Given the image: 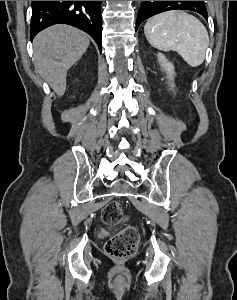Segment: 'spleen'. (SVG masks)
<instances>
[{"instance_id":"spleen-1","label":"spleen","mask_w":237,"mask_h":300,"mask_svg":"<svg viewBox=\"0 0 237 300\" xmlns=\"http://www.w3.org/2000/svg\"><path fill=\"white\" fill-rule=\"evenodd\" d=\"M145 37L159 51H176L190 67L205 61L209 35L202 23L185 11H166L148 19Z\"/></svg>"}]
</instances>
